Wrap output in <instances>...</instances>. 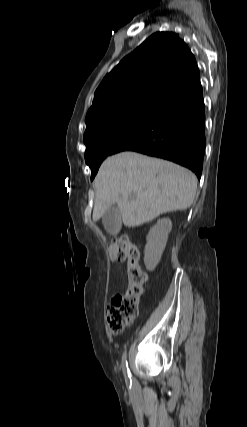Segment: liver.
I'll use <instances>...</instances> for the list:
<instances>
[{"label": "liver", "instance_id": "liver-1", "mask_svg": "<svg viewBox=\"0 0 247 427\" xmlns=\"http://www.w3.org/2000/svg\"><path fill=\"white\" fill-rule=\"evenodd\" d=\"M197 178L173 162L136 152L108 157L94 180L93 221L117 204L127 227H137L159 215L186 210L194 200Z\"/></svg>", "mask_w": 247, "mask_h": 427}]
</instances>
